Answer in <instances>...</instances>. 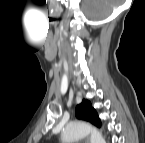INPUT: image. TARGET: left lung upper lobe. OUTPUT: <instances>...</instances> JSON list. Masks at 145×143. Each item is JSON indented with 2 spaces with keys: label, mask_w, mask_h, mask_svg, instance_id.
<instances>
[{
  "label": "left lung upper lobe",
  "mask_w": 145,
  "mask_h": 143,
  "mask_svg": "<svg viewBox=\"0 0 145 143\" xmlns=\"http://www.w3.org/2000/svg\"><path fill=\"white\" fill-rule=\"evenodd\" d=\"M76 117L82 120L89 121L98 127H100L101 125L96 111L91 106V103L88 100H83L82 103L77 106Z\"/></svg>",
  "instance_id": "1"
}]
</instances>
